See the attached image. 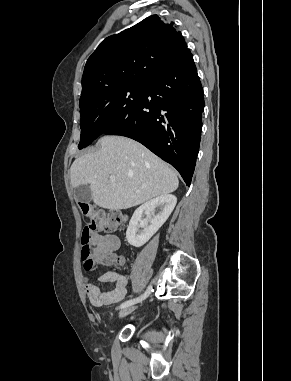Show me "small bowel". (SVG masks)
<instances>
[{
  "label": "small bowel",
  "mask_w": 291,
  "mask_h": 381,
  "mask_svg": "<svg viewBox=\"0 0 291 381\" xmlns=\"http://www.w3.org/2000/svg\"><path fill=\"white\" fill-rule=\"evenodd\" d=\"M91 242L97 246L96 256L99 258L104 252H112L119 247V238L115 235H101L95 233ZM98 280L104 284H113L109 291L102 292L100 288L90 280L84 282L85 293L94 306H105L122 301L127 293L128 276L120 272L110 270L102 273Z\"/></svg>",
  "instance_id": "c3829d8e"
}]
</instances>
